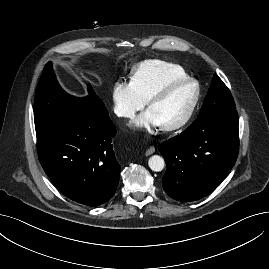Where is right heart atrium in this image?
I'll list each match as a JSON object with an SVG mask.
<instances>
[{
  "mask_svg": "<svg viewBox=\"0 0 269 269\" xmlns=\"http://www.w3.org/2000/svg\"><path fill=\"white\" fill-rule=\"evenodd\" d=\"M114 113L123 119H133L143 109L145 101L139 96L131 82L117 80L111 90Z\"/></svg>",
  "mask_w": 269,
  "mask_h": 269,
  "instance_id": "obj_1",
  "label": "right heart atrium"
}]
</instances>
